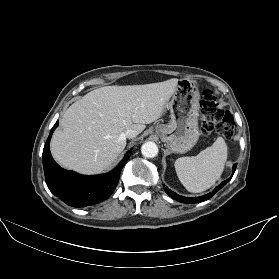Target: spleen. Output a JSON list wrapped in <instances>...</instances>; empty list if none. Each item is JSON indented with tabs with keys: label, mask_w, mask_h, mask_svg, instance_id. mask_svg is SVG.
<instances>
[{
	"label": "spleen",
	"mask_w": 279,
	"mask_h": 279,
	"mask_svg": "<svg viewBox=\"0 0 279 279\" xmlns=\"http://www.w3.org/2000/svg\"><path fill=\"white\" fill-rule=\"evenodd\" d=\"M228 147L222 137L197 156L181 157L175 161V170L183 186L192 193H200L219 180L227 160Z\"/></svg>",
	"instance_id": "spleen-1"
}]
</instances>
